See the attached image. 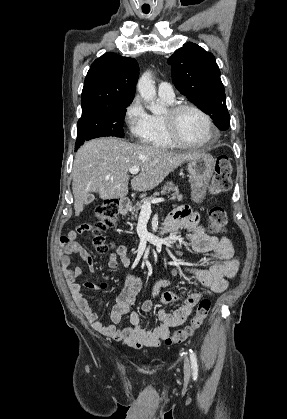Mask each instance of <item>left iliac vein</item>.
Listing matches in <instances>:
<instances>
[{"mask_svg":"<svg viewBox=\"0 0 287 419\" xmlns=\"http://www.w3.org/2000/svg\"><path fill=\"white\" fill-rule=\"evenodd\" d=\"M184 373L186 377L190 376L191 370H190V362L188 358H185L184 360Z\"/></svg>","mask_w":287,"mask_h":419,"instance_id":"1","label":"left iliac vein"}]
</instances>
